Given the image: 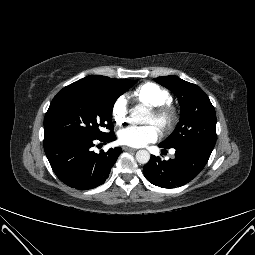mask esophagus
Masks as SVG:
<instances>
[{
  "mask_svg": "<svg viewBox=\"0 0 255 255\" xmlns=\"http://www.w3.org/2000/svg\"><path fill=\"white\" fill-rule=\"evenodd\" d=\"M124 151H136V149L128 147V146H123Z\"/></svg>",
  "mask_w": 255,
  "mask_h": 255,
  "instance_id": "obj_1",
  "label": "esophagus"
}]
</instances>
